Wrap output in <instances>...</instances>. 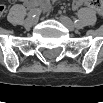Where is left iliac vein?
Here are the masks:
<instances>
[{"mask_svg":"<svg viewBox=\"0 0 103 103\" xmlns=\"http://www.w3.org/2000/svg\"><path fill=\"white\" fill-rule=\"evenodd\" d=\"M61 23L70 31H74L76 26L67 16H60Z\"/></svg>","mask_w":103,"mask_h":103,"instance_id":"4c4485c4","label":"left iliac vein"}]
</instances>
